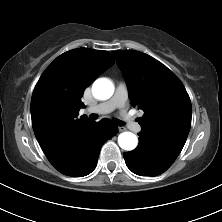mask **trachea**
I'll use <instances>...</instances> for the list:
<instances>
[{"instance_id": "trachea-1", "label": "trachea", "mask_w": 222, "mask_h": 222, "mask_svg": "<svg viewBox=\"0 0 222 222\" xmlns=\"http://www.w3.org/2000/svg\"><path fill=\"white\" fill-rule=\"evenodd\" d=\"M89 117H90L91 120H96L98 116L96 114H91ZM113 122L118 126H123L124 125V122L119 120V119H113Z\"/></svg>"}]
</instances>
